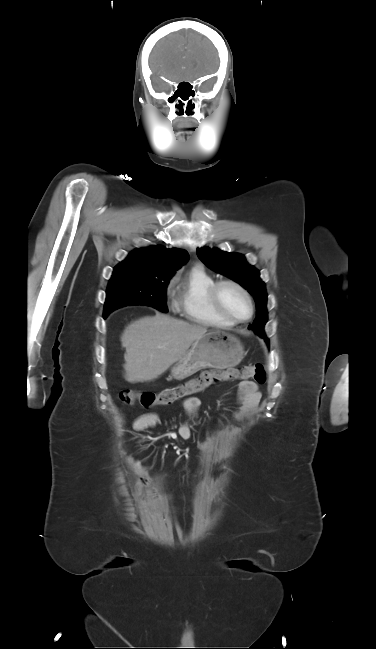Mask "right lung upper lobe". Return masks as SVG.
I'll use <instances>...</instances> for the list:
<instances>
[{
  "mask_svg": "<svg viewBox=\"0 0 376 649\" xmlns=\"http://www.w3.org/2000/svg\"><path fill=\"white\" fill-rule=\"evenodd\" d=\"M188 257V253L181 249L153 246L132 251L124 261L132 262L150 274H160L174 273Z\"/></svg>",
  "mask_w": 376,
  "mask_h": 649,
  "instance_id": "obj_1",
  "label": "right lung upper lobe"
}]
</instances>
